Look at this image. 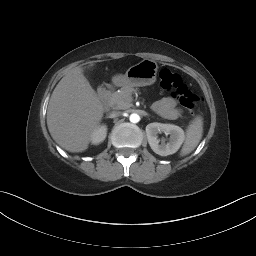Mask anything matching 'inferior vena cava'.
<instances>
[{"label": "inferior vena cava", "mask_w": 256, "mask_h": 256, "mask_svg": "<svg viewBox=\"0 0 256 256\" xmlns=\"http://www.w3.org/2000/svg\"><path fill=\"white\" fill-rule=\"evenodd\" d=\"M121 115V112L120 111H112L111 113H110V117L111 118H115V117H118V116H120Z\"/></svg>", "instance_id": "inferior-vena-cava-1"}]
</instances>
